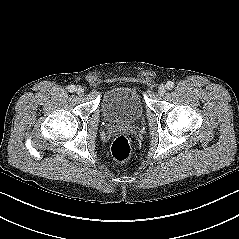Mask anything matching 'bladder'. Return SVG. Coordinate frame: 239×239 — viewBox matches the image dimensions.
<instances>
[{
	"label": "bladder",
	"instance_id": "31cf9c89",
	"mask_svg": "<svg viewBox=\"0 0 239 239\" xmlns=\"http://www.w3.org/2000/svg\"><path fill=\"white\" fill-rule=\"evenodd\" d=\"M101 110L109 123L131 124L142 117L144 106L135 88L115 86L102 95Z\"/></svg>",
	"mask_w": 239,
	"mask_h": 239
}]
</instances>
